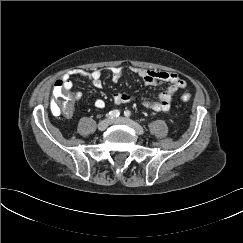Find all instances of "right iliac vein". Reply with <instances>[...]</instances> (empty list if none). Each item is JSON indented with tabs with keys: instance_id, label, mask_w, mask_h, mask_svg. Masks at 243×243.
<instances>
[{
	"instance_id": "63e3f726",
	"label": "right iliac vein",
	"mask_w": 243,
	"mask_h": 243,
	"mask_svg": "<svg viewBox=\"0 0 243 243\" xmlns=\"http://www.w3.org/2000/svg\"><path fill=\"white\" fill-rule=\"evenodd\" d=\"M110 121L108 119L102 120L98 123V129L104 131L109 126Z\"/></svg>"
}]
</instances>
